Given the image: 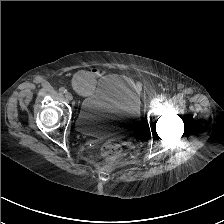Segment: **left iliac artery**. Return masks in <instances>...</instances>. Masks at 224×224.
I'll return each instance as SVG.
<instances>
[{"label":"left iliac artery","mask_w":224,"mask_h":224,"mask_svg":"<svg viewBox=\"0 0 224 224\" xmlns=\"http://www.w3.org/2000/svg\"><path fill=\"white\" fill-rule=\"evenodd\" d=\"M165 99H166V96L161 94V95L158 97L157 100H158L159 102H163Z\"/></svg>","instance_id":"obj_1"}]
</instances>
